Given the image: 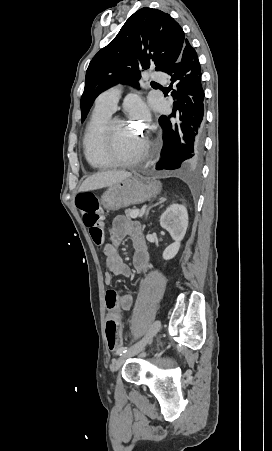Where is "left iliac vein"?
I'll return each mask as SVG.
<instances>
[{
  "mask_svg": "<svg viewBox=\"0 0 272 451\" xmlns=\"http://www.w3.org/2000/svg\"><path fill=\"white\" fill-rule=\"evenodd\" d=\"M160 329L161 322L159 320L154 321L150 326L149 330L147 331L146 336L143 338V340L140 341L139 344L131 347L126 353L122 354V356L113 363L112 370L117 371L122 366V364L125 362L126 359L136 355L147 344L152 342V339L156 336V334L160 331Z\"/></svg>",
  "mask_w": 272,
  "mask_h": 451,
  "instance_id": "obj_1",
  "label": "left iliac vein"
}]
</instances>
